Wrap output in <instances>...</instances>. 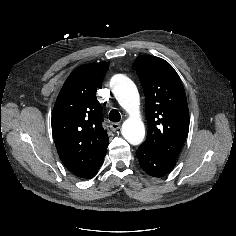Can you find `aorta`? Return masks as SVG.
I'll list each match as a JSON object with an SVG mask.
<instances>
[{
	"label": "aorta",
	"instance_id": "762f6f07",
	"mask_svg": "<svg viewBox=\"0 0 236 236\" xmlns=\"http://www.w3.org/2000/svg\"><path fill=\"white\" fill-rule=\"evenodd\" d=\"M115 98L130 117L122 125L123 137L132 145H139L145 137V127L139 116L140 98L136 85L125 75L112 78Z\"/></svg>",
	"mask_w": 236,
	"mask_h": 236
}]
</instances>
